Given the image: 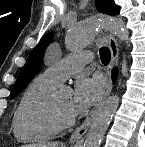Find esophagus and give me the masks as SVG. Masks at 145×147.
I'll return each instance as SVG.
<instances>
[{
	"mask_svg": "<svg viewBox=\"0 0 145 147\" xmlns=\"http://www.w3.org/2000/svg\"><path fill=\"white\" fill-rule=\"evenodd\" d=\"M107 42H108V46H109V49H110V52H111V63H110V66H109V71L106 75L105 88H104L100 98L96 102L95 106L93 107V109L91 110L89 115L84 120V122L81 124L80 127H78L72 133V135L70 137L71 142L79 141L84 137V135L86 134V132H87L89 126H90V123L92 121V118H93L97 108L104 101V99L111 93V90H112L111 70L113 68L117 67V65H118L119 49H118L117 41H116V39L114 38L113 35H111V34L108 35Z\"/></svg>",
	"mask_w": 145,
	"mask_h": 147,
	"instance_id": "obj_1",
	"label": "esophagus"
}]
</instances>
